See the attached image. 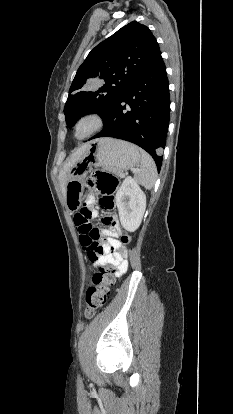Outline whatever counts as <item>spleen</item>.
<instances>
[{
	"label": "spleen",
	"instance_id": "3e777b00",
	"mask_svg": "<svg viewBox=\"0 0 233 414\" xmlns=\"http://www.w3.org/2000/svg\"><path fill=\"white\" fill-rule=\"evenodd\" d=\"M140 153V170L135 173V179L144 188L150 190L152 189L157 178L156 165L152 157L147 152L141 150Z\"/></svg>",
	"mask_w": 233,
	"mask_h": 414
}]
</instances>
